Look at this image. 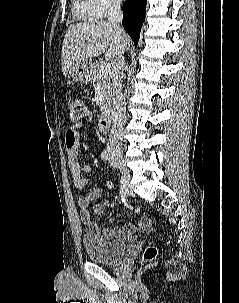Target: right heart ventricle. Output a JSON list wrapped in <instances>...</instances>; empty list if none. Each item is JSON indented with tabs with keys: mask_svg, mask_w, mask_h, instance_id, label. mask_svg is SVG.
Segmentation results:
<instances>
[{
	"mask_svg": "<svg viewBox=\"0 0 239 303\" xmlns=\"http://www.w3.org/2000/svg\"><path fill=\"white\" fill-rule=\"evenodd\" d=\"M74 11L75 14L82 19L92 18V16L88 13L83 0H74Z\"/></svg>",
	"mask_w": 239,
	"mask_h": 303,
	"instance_id": "right-heart-ventricle-1",
	"label": "right heart ventricle"
}]
</instances>
